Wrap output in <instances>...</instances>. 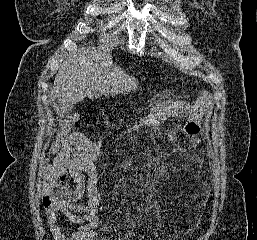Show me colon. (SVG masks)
<instances>
[{
	"instance_id": "5ec220e1",
	"label": "colon",
	"mask_w": 257,
	"mask_h": 240,
	"mask_svg": "<svg viewBox=\"0 0 257 240\" xmlns=\"http://www.w3.org/2000/svg\"><path fill=\"white\" fill-rule=\"evenodd\" d=\"M209 100V93L207 91L202 92L188 120L181 128V133L184 139H194L200 135L201 122L207 110ZM49 203V199L47 197L44 198V204L47 206Z\"/></svg>"
}]
</instances>
